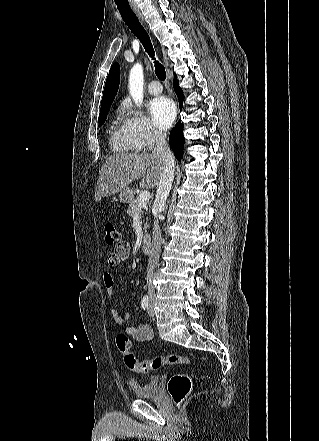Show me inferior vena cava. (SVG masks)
I'll list each match as a JSON object with an SVG mask.
<instances>
[{
	"instance_id": "inferior-vena-cava-1",
	"label": "inferior vena cava",
	"mask_w": 319,
	"mask_h": 441,
	"mask_svg": "<svg viewBox=\"0 0 319 441\" xmlns=\"http://www.w3.org/2000/svg\"><path fill=\"white\" fill-rule=\"evenodd\" d=\"M155 141L156 147L153 150V156L163 162V170L157 185L154 205L158 208V211L161 212L172 188L175 163L174 156L166 142V134L162 131H157L155 133ZM161 243V230L159 227L158 218L156 216L152 232V247L149 255L146 277L149 297H153L155 294V287L153 286V273L159 261Z\"/></svg>"
}]
</instances>
